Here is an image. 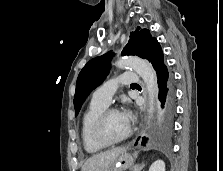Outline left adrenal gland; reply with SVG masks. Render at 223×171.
I'll use <instances>...</instances> for the list:
<instances>
[{
  "label": "left adrenal gland",
  "instance_id": "obj_1",
  "mask_svg": "<svg viewBox=\"0 0 223 171\" xmlns=\"http://www.w3.org/2000/svg\"><path fill=\"white\" fill-rule=\"evenodd\" d=\"M144 168V164H135L132 168V171H142V169Z\"/></svg>",
  "mask_w": 223,
  "mask_h": 171
}]
</instances>
